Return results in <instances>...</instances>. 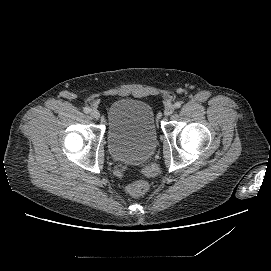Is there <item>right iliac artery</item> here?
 Here are the masks:
<instances>
[{"mask_svg":"<svg viewBox=\"0 0 271 271\" xmlns=\"http://www.w3.org/2000/svg\"><path fill=\"white\" fill-rule=\"evenodd\" d=\"M83 111H84L85 113H89V112H90V108H89V107H84V108H83Z\"/></svg>","mask_w":271,"mask_h":271,"instance_id":"1","label":"right iliac artery"}]
</instances>
